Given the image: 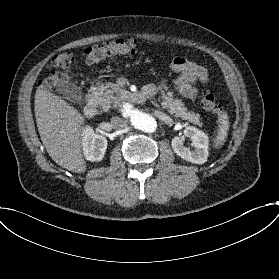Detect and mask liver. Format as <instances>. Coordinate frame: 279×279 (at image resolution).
I'll return each instance as SVG.
<instances>
[{
    "instance_id": "6515ba94",
    "label": "liver",
    "mask_w": 279,
    "mask_h": 279,
    "mask_svg": "<svg viewBox=\"0 0 279 279\" xmlns=\"http://www.w3.org/2000/svg\"><path fill=\"white\" fill-rule=\"evenodd\" d=\"M34 105L38 132L52 160L69 171L85 172L80 136L84 117L43 86L36 90Z\"/></svg>"
}]
</instances>
